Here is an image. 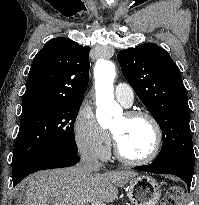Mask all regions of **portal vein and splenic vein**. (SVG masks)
<instances>
[{"mask_svg": "<svg viewBox=\"0 0 199 205\" xmlns=\"http://www.w3.org/2000/svg\"><path fill=\"white\" fill-rule=\"evenodd\" d=\"M91 205H105V204L101 201L96 200V201H93Z\"/></svg>", "mask_w": 199, "mask_h": 205, "instance_id": "18ae733b", "label": "portal vein and splenic vein"}]
</instances>
